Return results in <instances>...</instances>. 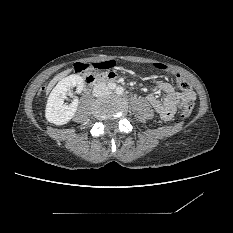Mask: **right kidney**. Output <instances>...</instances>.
Wrapping results in <instances>:
<instances>
[{
	"instance_id": "ca27d5eb",
	"label": "right kidney",
	"mask_w": 233,
	"mask_h": 233,
	"mask_svg": "<svg viewBox=\"0 0 233 233\" xmlns=\"http://www.w3.org/2000/svg\"><path fill=\"white\" fill-rule=\"evenodd\" d=\"M71 87H76V92L81 93L84 87L83 78L80 75L72 74L61 81L54 87L47 100L45 117L48 122L55 125H64L74 116L78 99L75 98L70 105L64 103L66 94Z\"/></svg>"
}]
</instances>
